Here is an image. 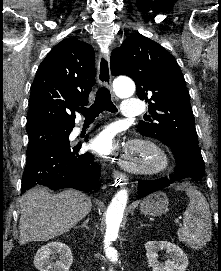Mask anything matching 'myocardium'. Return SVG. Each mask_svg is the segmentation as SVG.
<instances>
[{
	"instance_id": "obj_1",
	"label": "myocardium",
	"mask_w": 221,
	"mask_h": 271,
	"mask_svg": "<svg viewBox=\"0 0 221 271\" xmlns=\"http://www.w3.org/2000/svg\"><path fill=\"white\" fill-rule=\"evenodd\" d=\"M140 140H151L148 137H141ZM139 138L136 140H128V145H132L131 149L135 150V155H143L144 157H127V158H117V163H122L119 165L118 169L121 172H137L141 175L142 173L150 174L152 171L162 172L166 169V165H171L166 162L168 158H162L160 155L166 153L167 150H160V145H149V142H140ZM141 170H145L142 172Z\"/></svg>"
}]
</instances>
